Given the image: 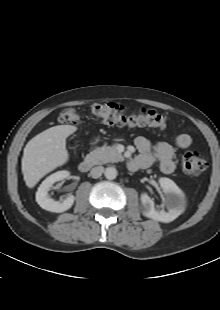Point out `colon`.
<instances>
[{"mask_svg":"<svg viewBox=\"0 0 220 310\" xmlns=\"http://www.w3.org/2000/svg\"><path fill=\"white\" fill-rule=\"evenodd\" d=\"M92 112L103 122L116 126L151 127L163 129L167 126V118L163 114L149 109L130 110L116 103H97L92 106ZM64 124H76L79 115L74 108H65L58 117ZM182 168L185 173L199 175L208 168V163L196 152L189 151L184 154Z\"/></svg>","mask_w":220,"mask_h":310,"instance_id":"obj_1","label":"colon"}]
</instances>
